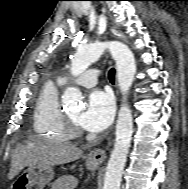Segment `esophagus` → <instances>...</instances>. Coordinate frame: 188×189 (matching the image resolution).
Here are the masks:
<instances>
[{"instance_id": "esophagus-1", "label": "esophagus", "mask_w": 188, "mask_h": 189, "mask_svg": "<svg viewBox=\"0 0 188 189\" xmlns=\"http://www.w3.org/2000/svg\"><path fill=\"white\" fill-rule=\"evenodd\" d=\"M106 158V152L103 149L97 148L92 150L88 155V161L92 164L99 165Z\"/></svg>"}]
</instances>
